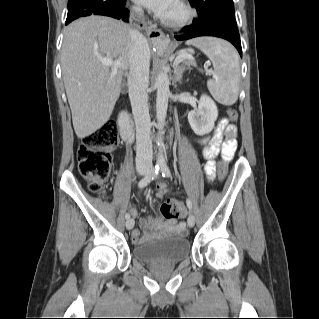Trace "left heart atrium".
<instances>
[{
    "label": "left heart atrium",
    "mask_w": 319,
    "mask_h": 319,
    "mask_svg": "<svg viewBox=\"0 0 319 319\" xmlns=\"http://www.w3.org/2000/svg\"><path fill=\"white\" fill-rule=\"evenodd\" d=\"M137 3L152 10L159 16H164L174 0H135Z\"/></svg>",
    "instance_id": "1"
}]
</instances>
